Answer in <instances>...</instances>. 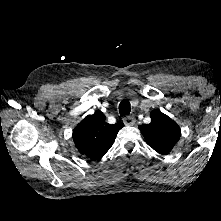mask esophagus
<instances>
[{"label":"esophagus","mask_w":221,"mask_h":221,"mask_svg":"<svg viewBox=\"0 0 221 221\" xmlns=\"http://www.w3.org/2000/svg\"><path fill=\"white\" fill-rule=\"evenodd\" d=\"M135 117L133 116V115H128V116H125L124 118H123V122H124V124L125 125H130V126H132V125H134L135 124Z\"/></svg>","instance_id":"esophagus-1"}]
</instances>
